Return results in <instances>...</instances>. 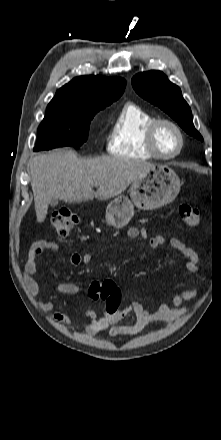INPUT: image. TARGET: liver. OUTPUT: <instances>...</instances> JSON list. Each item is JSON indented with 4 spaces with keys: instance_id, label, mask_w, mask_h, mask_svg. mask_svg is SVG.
<instances>
[{
    "instance_id": "1",
    "label": "liver",
    "mask_w": 221,
    "mask_h": 440,
    "mask_svg": "<svg viewBox=\"0 0 221 440\" xmlns=\"http://www.w3.org/2000/svg\"><path fill=\"white\" fill-rule=\"evenodd\" d=\"M29 166L38 223L45 220L53 199L66 203L107 200L154 167L146 161L118 157L79 159L70 149L38 155ZM93 186H99L96 192Z\"/></svg>"
}]
</instances>
